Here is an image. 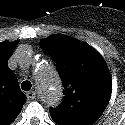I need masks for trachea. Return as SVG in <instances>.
<instances>
[{"mask_svg":"<svg viewBox=\"0 0 125 125\" xmlns=\"http://www.w3.org/2000/svg\"><path fill=\"white\" fill-rule=\"evenodd\" d=\"M31 87H32V84H31L30 81H24V82H22V84H21V88H22V90H24V91H29V90L31 89Z\"/></svg>","mask_w":125,"mask_h":125,"instance_id":"trachea-1","label":"trachea"}]
</instances>
